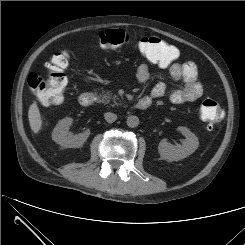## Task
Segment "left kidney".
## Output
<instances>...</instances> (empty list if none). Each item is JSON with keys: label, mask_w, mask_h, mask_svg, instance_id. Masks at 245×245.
I'll use <instances>...</instances> for the list:
<instances>
[{"label": "left kidney", "mask_w": 245, "mask_h": 245, "mask_svg": "<svg viewBox=\"0 0 245 245\" xmlns=\"http://www.w3.org/2000/svg\"><path fill=\"white\" fill-rule=\"evenodd\" d=\"M177 130L186 137L182 144L173 145L166 139L160 141L158 151L162 159L167 161H179L186 158L199 146L198 138L186 127H178Z\"/></svg>", "instance_id": "left-kidney-1"}]
</instances>
